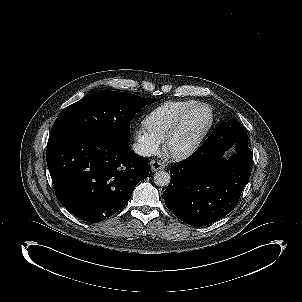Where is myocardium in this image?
I'll use <instances>...</instances> for the list:
<instances>
[{"label":"myocardium","mask_w":302,"mask_h":302,"mask_svg":"<svg viewBox=\"0 0 302 302\" xmlns=\"http://www.w3.org/2000/svg\"><path fill=\"white\" fill-rule=\"evenodd\" d=\"M200 109H203L207 112V121L205 123V126L199 133V135L187 147L182 148V149H173L171 147V139H172L173 135L179 129L180 125L182 124V122L185 120L186 117H188L190 114H192L196 110H200ZM212 121H213V114H212L211 108L208 105L196 104V105L192 106L190 109H188L187 111H185L183 114H181L179 116V118L172 125L171 129L168 131V133L164 139V151L173 158H181V157H184V156L190 154L201 143V141L207 134V132L212 124Z\"/></svg>","instance_id":"obj_1"}]
</instances>
